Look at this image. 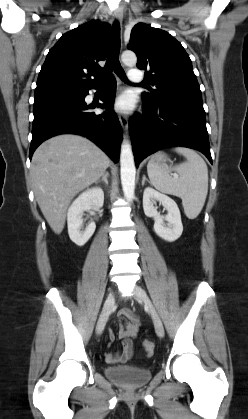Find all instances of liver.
Segmentation results:
<instances>
[{
  "mask_svg": "<svg viewBox=\"0 0 248 419\" xmlns=\"http://www.w3.org/2000/svg\"><path fill=\"white\" fill-rule=\"evenodd\" d=\"M109 157L89 139L62 134L34 152L30 176L36 201L51 229L60 234L72 199L98 181Z\"/></svg>",
  "mask_w": 248,
  "mask_h": 419,
  "instance_id": "6515ba94",
  "label": "liver"
}]
</instances>
